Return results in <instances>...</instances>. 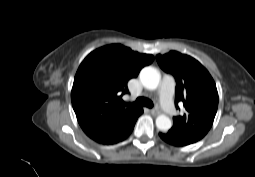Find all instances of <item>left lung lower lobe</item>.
<instances>
[{
  "label": "left lung lower lobe",
  "instance_id": "0a47b994",
  "mask_svg": "<svg viewBox=\"0 0 255 177\" xmlns=\"http://www.w3.org/2000/svg\"><path fill=\"white\" fill-rule=\"evenodd\" d=\"M159 136L162 140L174 146H186L197 142L171 129L166 133H159Z\"/></svg>",
  "mask_w": 255,
  "mask_h": 177
}]
</instances>
